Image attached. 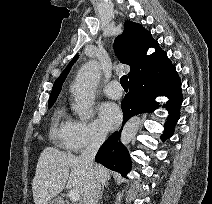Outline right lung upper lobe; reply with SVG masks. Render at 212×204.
I'll return each instance as SVG.
<instances>
[{
	"mask_svg": "<svg viewBox=\"0 0 212 204\" xmlns=\"http://www.w3.org/2000/svg\"><path fill=\"white\" fill-rule=\"evenodd\" d=\"M150 47H155L156 51L147 56L146 53ZM114 49L119 60L131 67L128 73L129 83L148 72L162 69L171 64L166 52L159 48L158 42L152 38L151 33L142 25L131 21L125 22L124 32L115 39ZM77 58L76 55L55 81L49 102L56 101L62 84Z\"/></svg>",
	"mask_w": 212,
	"mask_h": 204,
	"instance_id": "right-lung-upper-lobe-1",
	"label": "right lung upper lobe"
}]
</instances>
